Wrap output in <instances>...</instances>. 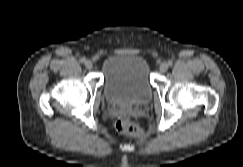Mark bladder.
Returning <instances> with one entry per match:
<instances>
[{
	"instance_id": "obj_1",
	"label": "bladder",
	"mask_w": 243,
	"mask_h": 167,
	"mask_svg": "<svg viewBox=\"0 0 243 167\" xmlns=\"http://www.w3.org/2000/svg\"><path fill=\"white\" fill-rule=\"evenodd\" d=\"M104 96L114 107H137L152 98L149 70L144 58L128 53L114 54L103 63Z\"/></svg>"
}]
</instances>
